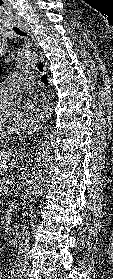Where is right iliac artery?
<instances>
[{
  "label": "right iliac artery",
  "mask_w": 113,
  "mask_h": 279,
  "mask_svg": "<svg viewBox=\"0 0 113 279\" xmlns=\"http://www.w3.org/2000/svg\"><path fill=\"white\" fill-rule=\"evenodd\" d=\"M16 275H17V272H16V270L13 269V270L11 271V276H12V277H15Z\"/></svg>",
  "instance_id": "82829eb1"
}]
</instances>
